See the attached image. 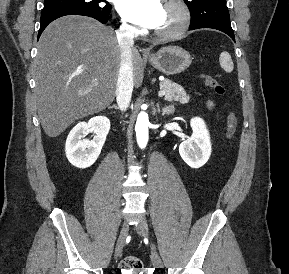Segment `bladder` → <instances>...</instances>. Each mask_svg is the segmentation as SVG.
I'll return each instance as SVG.
<instances>
[{
  "label": "bladder",
  "mask_w": 289,
  "mask_h": 274,
  "mask_svg": "<svg viewBox=\"0 0 289 274\" xmlns=\"http://www.w3.org/2000/svg\"><path fill=\"white\" fill-rule=\"evenodd\" d=\"M122 274H141L139 271H126L123 272Z\"/></svg>",
  "instance_id": "bladder-1"
}]
</instances>
